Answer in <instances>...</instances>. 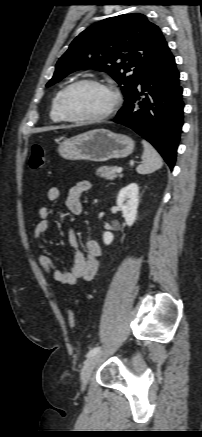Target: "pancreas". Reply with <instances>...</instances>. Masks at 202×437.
Listing matches in <instances>:
<instances>
[{
  "instance_id": "1",
  "label": "pancreas",
  "mask_w": 202,
  "mask_h": 437,
  "mask_svg": "<svg viewBox=\"0 0 202 437\" xmlns=\"http://www.w3.org/2000/svg\"><path fill=\"white\" fill-rule=\"evenodd\" d=\"M116 169V166H102L97 169L96 175L107 180H114L118 176L116 174Z\"/></svg>"
}]
</instances>
